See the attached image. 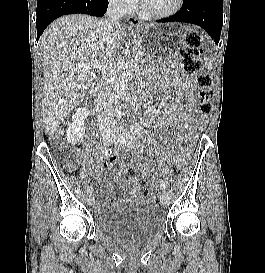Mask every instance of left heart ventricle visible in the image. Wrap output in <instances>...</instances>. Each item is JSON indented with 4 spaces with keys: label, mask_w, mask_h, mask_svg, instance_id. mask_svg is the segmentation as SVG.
<instances>
[{
    "label": "left heart ventricle",
    "mask_w": 265,
    "mask_h": 273,
    "mask_svg": "<svg viewBox=\"0 0 265 273\" xmlns=\"http://www.w3.org/2000/svg\"><path fill=\"white\" fill-rule=\"evenodd\" d=\"M177 0H143L146 9L152 12H166L172 9Z\"/></svg>",
    "instance_id": "left-heart-ventricle-1"
}]
</instances>
